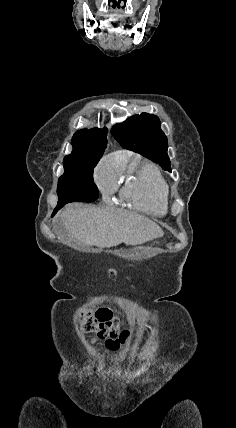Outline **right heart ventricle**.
Segmentation results:
<instances>
[{
    "label": "right heart ventricle",
    "mask_w": 236,
    "mask_h": 428,
    "mask_svg": "<svg viewBox=\"0 0 236 428\" xmlns=\"http://www.w3.org/2000/svg\"><path fill=\"white\" fill-rule=\"evenodd\" d=\"M121 172H126L122 198L135 209L151 214H162L166 211L170 185L163 174L152 164L143 163L128 166L127 161L120 163Z\"/></svg>",
    "instance_id": "e07e8e85"
}]
</instances>
